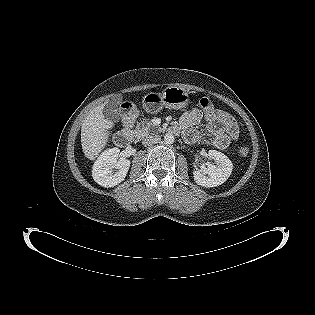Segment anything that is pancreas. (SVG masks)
Instances as JSON below:
<instances>
[{
    "instance_id": "obj_1",
    "label": "pancreas",
    "mask_w": 315,
    "mask_h": 315,
    "mask_svg": "<svg viewBox=\"0 0 315 315\" xmlns=\"http://www.w3.org/2000/svg\"><path fill=\"white\" fill-rule=\"evenodd\" d=\"M155 127L149 120H144L137 124L136 128L130 131L132 138L141 139L149 135L151 128Z\"/></svg>"
}]
</instances>
